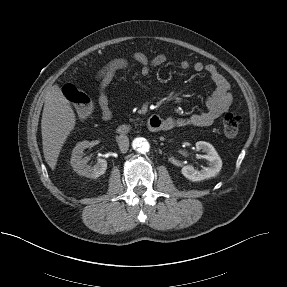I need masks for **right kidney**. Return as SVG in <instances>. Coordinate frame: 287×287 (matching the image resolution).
Returning <instances> with one entry per match:
<instances>
[{
	"instance_id": "ca27d5eb",
	"label": "right kidney",
	"mask_w": 287,
	"mask_h": 287,
	"mask_svg": "<svg viewBox=\"0 0 287 287\" xmlns=\"http://www.w3.org/2000/svg\"><path fill=\"white\" fill-rule=\"evenodd\" d=\"M86 148H91L89 141L79 142L72 151L70 164L77 174L87 178H97L105 173L107 161L99 158L94 166L87 165L88 159L83 158V151Z\"/></svg>"
}]
</instances>
